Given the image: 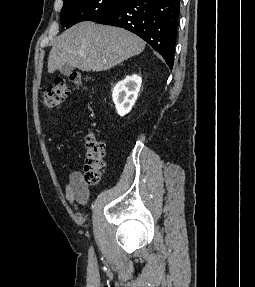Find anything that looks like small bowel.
<instances>
[{
  "label": "small bowel",
  "instance_id": "small-bowel-1",
  "mask_svg": "<svg viewBox=\"0 0 255 287\" xmlns=\"http://www.w3.org/2000/svg\"><path fill=\"white\" fill-rule=\"evenodd\" d=\"M88 197L89 187L84 181L82 173L78 171L72 172L65 187L66 201L73 209L77 210L78 205L85 204Z\"/></svg>",
  "mask_w": 255,
  "mask_h": 287
}]
</instances>
